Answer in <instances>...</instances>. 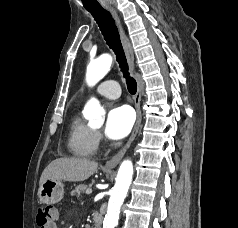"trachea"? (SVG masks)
I'll return each instance as SVG.
<instances>
[{
	"label": "trachea",
	"mask_w": 238,
	"mask_h": 228,
	"mask_svg": "<svg viewBox=\"0 0 238 228\" xmlns=\"http://www.w3.org/2000/svg\"><path fill=\"white\" fill-rule=\"evenodd\" d=\"M90 13L97 22L107 45L116 54L117 61L126 79L128 91L131 94H135L137 91V83L134 78L129 76L128 64L120 41L118 29L115 25V21L113 20L111 14L105 9L93 10L90 11Z\"/></svg>",
	"instance_id": "3493384b"
}]
</instances>
